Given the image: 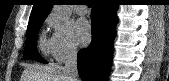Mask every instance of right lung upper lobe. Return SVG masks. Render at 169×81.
Returning a JSON list of instances; mask_svg holds the SVG:
<instances>
[{
	"label": "right lung upper lobe",
	"mask_w": 169,
	"mask_h": 81,
	"mask_svg": "<svg viewBox=\"0 0 169 81\" xmlns=\"http://www.w3.org/2000/svg\"><path fill=\"white\" fill-rule=\"evenodd\" d=\"M34 2L35 3L29 18V24L36 21L45 20L53 5V0H34Z\"/></svg>",
	"instance_id": "1"
}]
</instances>
